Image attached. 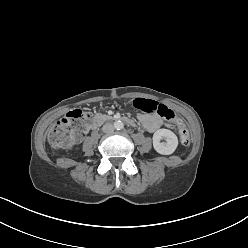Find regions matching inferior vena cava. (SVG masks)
<instances>
[{
    "instance_id": "obj_1",
    "label": "inferior vena cava",
    "mask_w": 248,
    "mask_h": 248,
    "mask_svg": "<svg viewBox=\"0 0 248 248\" xmlns=\"http://www.w3.org/2000/svg\"><path fill=\"white\" fill-rule=\"evenodd\" d=\"M102 130L104 133H112L114 131V126L110 123L103 125Z\"/></svg>"
}]
</instances>
